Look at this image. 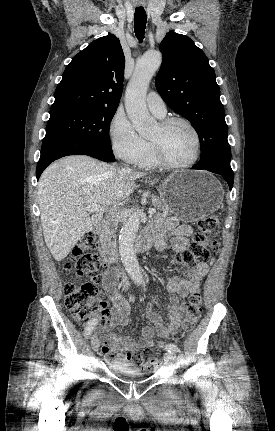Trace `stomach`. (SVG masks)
<instances>
[{
	"label": "stomach",
	"instance_id": "stomach-1",
	"mask_svg": "<svg viewBox=\"0 0 275 431\" xmlns=\"http://www.w3.org/2000/svg\"><path fill=\"white\" fill-rule=\"evenodd\" d=\"M159 192L170 211L190 223L215 212L223 200L219 181L210 173L199 170L172 173L161 182Z\"/></svg>",
	"mask_w": 275,
	"mask_h": 431
}]
</instances>
